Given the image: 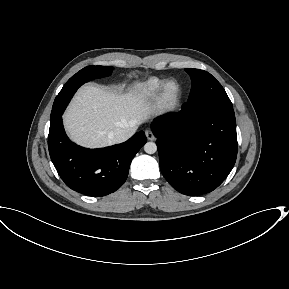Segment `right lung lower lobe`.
Returning a JSON list of instances; mask_svg holds the SVG:
<instances>
[{
    "label": "right lung lower lobe",
    "mask_w": 289,
    "mask_h": 289,
    "mask_svg": "<svg viewBox=\"0 0 289 289\" xmlns=\"http://www.w3.org/2000/svg\"><path fill=\"white\" fill-rule=\"evenodd\" d=\"M78 88L76 85L71 94ZM61 116L50 122L48 135L50 157L61 179L72 190L88 196L115 192L126 181L132 159L147 141L144 132L118 145L86 149L68 139Z\"/></svg>",
    "instance_id": "98d812e1"
}]
</instances>
